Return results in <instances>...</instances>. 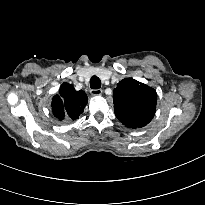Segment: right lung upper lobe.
I'll return each instance as SVG.
<instances>
[{"label":"right lung upper lobe","mask_w":205,"mask_h":205,"mask_svg":"<svg viewBox=\"0 0 205 205\" xmlns=\"http://www.w3.org/2000/svg\"><path fill=\"white\" fill-rule=\"evenodd\" d=\"M87 101L84 91H76L71 84L64 82L59 93L53 97L51 107L54 115L60 120L65 116L75 120L83 113Z\"/></svg>","instance_id":"right-lung-upper-lobe-1"}]
</instances>
